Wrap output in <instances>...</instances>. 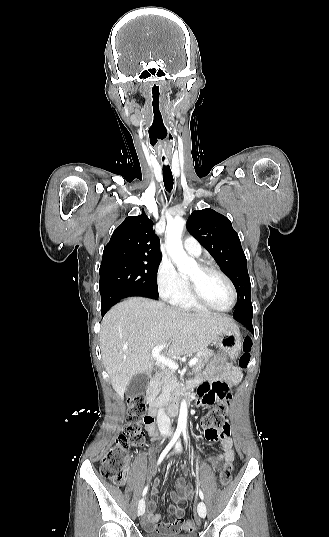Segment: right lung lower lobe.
Returning <instances> with one entry per match:
<instances>
[{"label":"right lung lower lobe","mask_w":329,"mask_h":537,"mask_svg":"<svg viewBox=\"0 0 329 537\" xmlns=\"http://www.w3.org/2000/svg\"><path fill=\"white\" fill-rule=\"evenodd\" d=\"M101 294V314L102 317L105 315V313L108 311V309L115 303H117L119 300L130 297V296H144V297H150L154 299H158V297H153L150 294L138 292V291H132V290H125V289H119V288H107L100 292Z\"/></svg>","instance_id":"right-lung-lower-lobe-1"}]
</instances>
